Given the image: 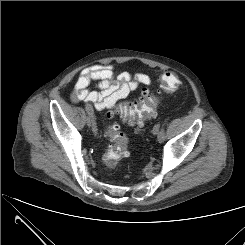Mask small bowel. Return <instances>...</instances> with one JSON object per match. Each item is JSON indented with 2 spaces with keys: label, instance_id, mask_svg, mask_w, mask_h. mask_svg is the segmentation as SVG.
<instances>
[{
  "label": "small bowel",
  "instance_id": "c3829d8e",
  "mask_svg": "<svg viewBox=\"0 0 245 245\" xmlns=\"http://www.w3.org/2000/svg\"><path fill=\"white\" fill-rule=\"evenodd\" d=\"M92 82L97 89L91 90ZM152 79L148 74L116 72L110 64H96L85 68L77 79L71 93L74 102L92 103L97 110L114 107L118 102L135 91L139 85H149Z\"/></svg>",
  "mask_w": 245,
  "mask_h": 245
}]
</instances>
